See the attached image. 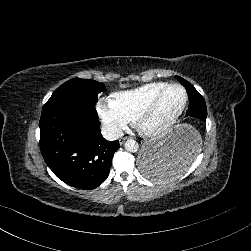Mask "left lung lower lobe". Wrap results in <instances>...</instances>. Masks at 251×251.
<instances>
[{
	"instance_id": "0a47b994",
	"label": "left lung lower lobe",
	"mask_w": 251,
	"mask_h": 251,
	"mask_svg": "<svg viewBox=\"0 0 251 251\" xmlns=\"http://www.w3.org/2000/svg\"><path fill=\"white\" fill-rule=\"evenodd\" d=\"M188 93L186 114L189 126L174 138L146 146L138 160L140 173L154 183L168 182L182 174L196 159L200 149L201 125L206 121L204 99Z\"/></svg>"
}]
</instances>
